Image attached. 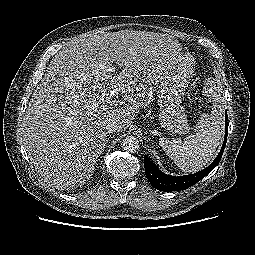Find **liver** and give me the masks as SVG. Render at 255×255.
Masks as SVG:
<instances>
[{
  "label": "liver",
  "mask_w": 255,
  "mask_h": 255,
  "mask_svg": "<svg viewBox=\"0 0 255 255\" xmlns=\"http://www.w3.org/2000/svg\"><path fill=\"white\" fill-rule=\"evenodd\" d=\"M181 53L172 36L135 30L91 32L62 47L23 121L25 149L44 183L58 190L82 186L107 143V123L127 129ZM113 63L118 74L106 70ZM112 89L122 98H109Z\"/></svg>",
  "instance_id": "6515ba94"
}]
</instances>
